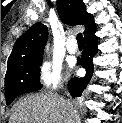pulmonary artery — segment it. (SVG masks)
Here are the masks:
<instances>
[{"label":"pulmonary artery","instance_id":"obj_1","mask_svg":"<svg viewBox=\"0 0 122 123\" xmlns=\"http://www.w3.org/2000/svg\"><path fill=\"white\" fill-rule=\"evenodd\" d=\"M67 50L71 54H75L78 51V46L74 37H70L67 42Z\"/></svg>","mask_w":122,"mask_h":123}]
</instances>
